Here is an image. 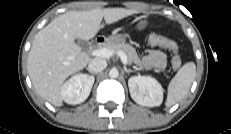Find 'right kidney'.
I'll use <instances>...</instances> for the list:
<instances>
[{
  "mask_svg": "<svg viewBox=\"0 0 231 134\" xmlns=\"http://www.w3.org/2000/svg\"><path fill=\"white\" fill-rule=\"evenodd\" d=\"M94 77L87 74H76L61 87V95L67 104L76 105L84 102L94 84Z\"/></svg>",
  "mask_w": 231,
  "mask_h": 134,
  "instance_id": "right-kidney-1",
  "label": "right kidney"
}]
</instances>
